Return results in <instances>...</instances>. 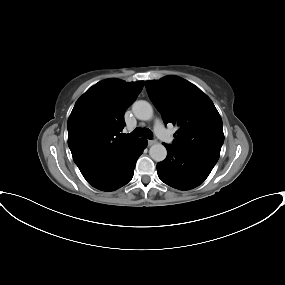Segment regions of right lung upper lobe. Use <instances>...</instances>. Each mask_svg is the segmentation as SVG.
Wrapping results in <instances>:
<instances>
[{
  "label": "right lung upper lobe",
  "instance_id": "1",
  "mask_svg": "<svg viewBox=\"0 0 285 285\" xmlns=\"http://www.w3.org/2000/svg\"><path fill=\"white\" fill-rule=\"evenodd\" d=\"M144 82L106 79L90 87L76 102L67 123L68 145L81 172L137 140L122 138L124 113Z\"/></svg>",
  "mask_w": 285,
  "mask_h": 285
}]
</instances>
